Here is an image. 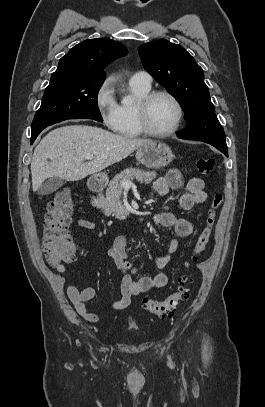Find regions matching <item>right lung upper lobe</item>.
Here are the masks:
<instances>
[{
    "mask_svg": "<svg viewBox=\"0 0 265 407\" xmlns=\"http://www.w3.org/2000/svg\"><path fill=\"white\" fill-rule=\"evenodd\" d=\"M126 54V47L117 41L108 38L88 39L74 46L60 59L52 76L68 75L77 79L104 82V68Z\"/></svg>",
    "mask_w": 265,
    "mask_h": 407,
    "instance_id": "cb5924a9",
    "label": "right lung upper lobe"
}]
</instances>
